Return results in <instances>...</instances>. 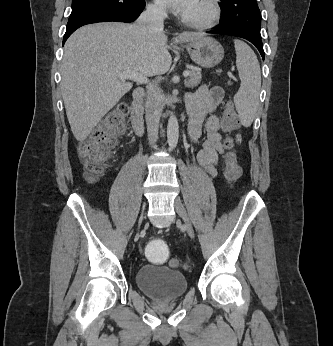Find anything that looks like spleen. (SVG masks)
<instances>
[{"mask_svg":"<svg viewBox=\"0 0 333 346\" xmlns=\"http://www.w3.org/2000/svg\"><path fill=\"white\" fill-rule=\"evenodd\" d=\"M236 67L241 86L234 96V103L244 126L248 127L254 120L259 105L261 88V71L254 51L243 41L234 40Z\"/></svg>","mask_w":333,"mask_h":346,"instance_id":"1","label":"spleen"}]
</instances>
